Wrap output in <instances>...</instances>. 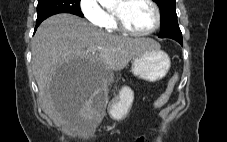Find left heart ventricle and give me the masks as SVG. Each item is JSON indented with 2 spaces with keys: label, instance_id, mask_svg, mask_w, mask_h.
Returning a JSON list of instances; mask_svg holds the SVG:
<instances>
[{
  "label": "left heart ventricle",
  "instance_id": "left-heart-ventricle-1",
  "mask_svg": "<svg viewBox=\"0 0 227 142\" xmlns=\"http://www.w3.org/2000/svg\"><path fill=\"white\" fill-rule=\"evenodd\" d=\"M113 10L121 11L126 24L135 31H147L155 23V13L146 0H129L123 4L118 1Z\"/></svg>",
  "mask_w": 227,
  "mask_h": 142
}]
</instances>
